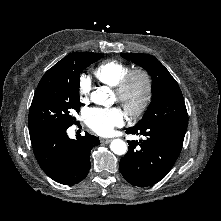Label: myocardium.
Returning a JSON list of instances; mask_svg holds the SVG:
<instances>
[{"instance_id": "f54148a6", "label": "myocardium", "mask_w": 221, "mask_h": 221, "mask_svg": "<svg viewBox=\"0 0 221 221\" xmlns=\"http://www.w3.org/2000/svg\"><path fill=\"white\" fill-rule=\"evenodd\" d=\"M136 81L143 85V93L136 104L129 100L130 93ZM117 100L130 117H137L148 108L153 96V79L150 73L142 68L131 69L115 88Z\"/></svg>"}]
</instances>
